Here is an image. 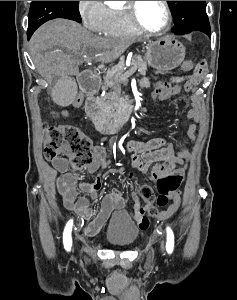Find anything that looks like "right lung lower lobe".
<instances>
[{
	"label": "right lung lower lobe",
	"mask_w": 237,
	"mask_h": 300,
	"mask_svg": "<svg viewBox=\"0 0 237 300\" xmlns=\"http://www.w3.org/2000/svg\"><path fill=\"white\" fill-rule=\"evenodd\" d=\"M34 31H35V30H34ZM34 31L28 29V32H27L28 39L31 37V35L34 33Z\"/></svg>",
	"instance_id": "obj_1"
}]
</instances>
